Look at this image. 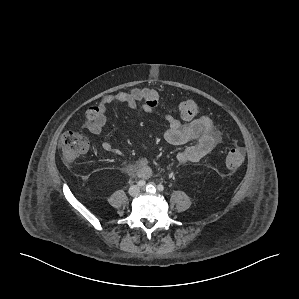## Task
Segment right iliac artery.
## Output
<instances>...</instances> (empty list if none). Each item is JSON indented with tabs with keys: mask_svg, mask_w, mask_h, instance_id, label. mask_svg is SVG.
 I'll use <instances>...</instances> for the list:
<instances>
[{
	"mask_svg": "<svg viewBox=\"0 0 299 299\" xmlns=\"http://www.w3.org/2000/svg\"><path fill=\"white\" fill-rule=\"evenodd\" d=\"M145 184H146V182L144 180H140L137 183V185L140 186V187L144 186Z\"/></svg>",
	"mask_w": 299,
	"mask_h": 299,
	"instance_id": "1",
	"label": "right iliac artery"
}]
</instances>
